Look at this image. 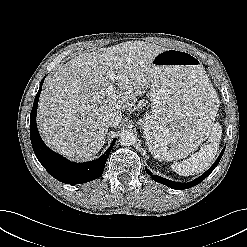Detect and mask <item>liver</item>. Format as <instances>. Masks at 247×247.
<instances>
[{"label":"liver","instance_id":"obj_1","mask_svg":"<svg viewBox=\"0 0 247 247\" xmlns=\"http://www.w3.org/2000/svg\"><path fill=\"white\" fill-rule=\"evenodd\" d=\"M164 50L128 41L81 53L60 66L46 80L39 99L37 124L46 144L69 159L91 160L105 143L107 116L122 117V111L150 88L152 61ZM110 84L117 89L108 94Z\"/></svg>","mask_w":247,"mask_h":247}]
</instances>
